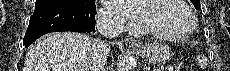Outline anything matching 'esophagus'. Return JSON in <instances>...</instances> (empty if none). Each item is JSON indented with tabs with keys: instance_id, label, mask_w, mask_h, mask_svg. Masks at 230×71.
<instances>
[{
	"instance_id": "34e87169",
	"label": "esophagus",
	"mask_w": 230,
	"mask_h": 71,
	"mask_svg": "<svg viewBox=\"0 0 230 71\" xmlns=\"http://www.w3.org/2000/svg\"><path fill=\"white\" fill-rule=\"evenodd\" d=\"M124 43L129 48H138V47H140V44L137 43V41L135 39H133V38H126L124 40Z\"/></svg>"
}]
</instances>
